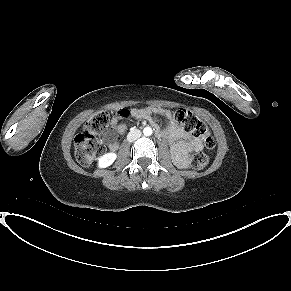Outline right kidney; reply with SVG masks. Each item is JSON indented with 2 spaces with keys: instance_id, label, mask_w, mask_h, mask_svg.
I'll return each mask as SVG.
<instances>
[{
  "instance_id": "obj_1",
  "label": "right kidney",
  "mask_w": 291,
  "mask_h": 291,
  "mask_svg": "<svg viewBox=\"0 0 291 291\" xmlns=\"http://www.w3.org/2000/svg\"><path fill=\"white\" fill-rule=\"evenodd\" d=\"M117 155L115 153H107L99 158L98 167L106 168L110 166L115 160Z\"/></svg>"
}]
</instances>
